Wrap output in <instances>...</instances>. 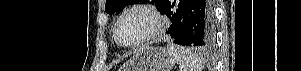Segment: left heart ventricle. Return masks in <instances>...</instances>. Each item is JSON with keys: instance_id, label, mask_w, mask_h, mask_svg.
<instances>
[{"instance_id": "1", "label": "left heart ventricle", "mask_w": 301, "mask_h": 71, "mask_svg": "<svg viewBox=\"0 0 301 71\" xmlns=\"http://www.w3.org/2000/svg\"><path fill=\"white\" fill-rule=\"evenodd\" d=\"M152 26L151 18L140 11L125 16L118 28L119 39L126 44H131L142 38Z\"/></svg>"}]
</instances>
